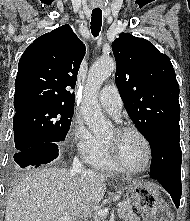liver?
<instances>
[{"instance_id":"6515ba94","label":"liver","mask_w":190,"mask_h":221,"mask_svg":"<svg viewBox=\"0 0 190 221\" xmlns=\"http://www.w3.org/2000/svg\"><path fill=\"white\" fill-rule=\"evenodd\" d=\"M109 176L72 175L59 168L24 172L7 199L5 221H59L64 216L78 221L92 214L106 191Z\"/></svg>"}]
</instances>
